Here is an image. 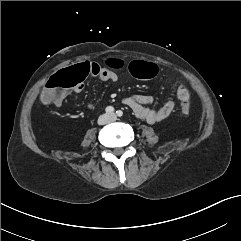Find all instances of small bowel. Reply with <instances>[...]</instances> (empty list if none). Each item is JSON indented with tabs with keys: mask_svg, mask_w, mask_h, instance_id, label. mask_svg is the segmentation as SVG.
<instances>
[{
	"mask_svg": "<svg viewBox=\"0 0 241 241\" xmlns=\"http://www.w3.org/2000/svg\"><path fill=\"white\" fill-rule=\"evenodd\" d=\"M88 62V61H87ZM90 64L91 70L88 75L98 77L103 82H117L119 79L118 74L97 62H88ZM186 89L183 86H179L177 91L180 89ZM83 90V84H79L75 87V92L80 93ZM122 103L132 109L136 117L145 120L150 124L158 123L163 121L170 116L174 109V102L167 101L159 109L151 108L153 103V98L147 95H132L122 98ZM56 106L60 107L62 101L55 103ZM89 108H94L93 104L88 105Z\"/></svg>",
	"mask_w": 241,
	"mask_h": 241,
	"instance_id": "small-bowel-1",
	"label": "small bowel"
}]
</instances>
